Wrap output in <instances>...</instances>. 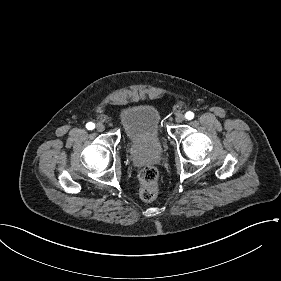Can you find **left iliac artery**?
I'll return each mask as SVG.
<instances>
[{
  "label": "left iliac artery",
  "instance_id": "obj_1",
  "mask_svg": "<svg viewBox=\"0 0 281 281\" xmlns=\"http://www.w3.org/2000/svg\"><path fill=\"white\" fill-rule=\"evenodd\" d=\"M186 119L191 120L194 117V113L189 111L185 114Z\"/></svg>",
  "mask_w": 281,
  "mask_h": 281
}]
</instances>
